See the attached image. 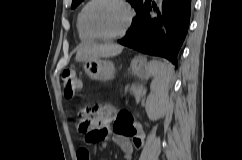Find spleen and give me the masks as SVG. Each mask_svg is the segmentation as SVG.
Here are the masks:
<instances>
[{"label":"spleen","mask_w":242,"mask_h":160,"mask_svg":"<svg viewBox=\"0 0 242 160\" xmlns=\"http://www.w3.org/2000/svg\"><path fill=\"white\" fill-rule=\"evenodd\" d=\"M148 70L154 79L150 86L151 94L147 102H155L158 105L164 106L168 97L169 84L174 74L173 67L169 64L153 60L148 63Z\"/></svg>","instance_id":"obj_1"}]
</instances>
